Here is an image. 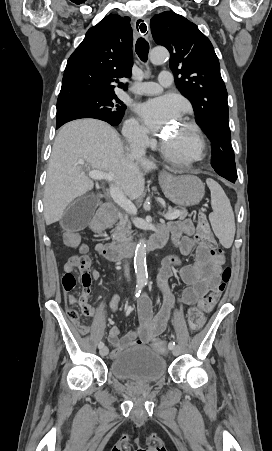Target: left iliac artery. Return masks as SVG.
I'll use <instances>...</instances> for the list:
<instances>
[{"label": "left iliac artery", "instance_id": "obj_1", "mask_svg": "<svg viewBox=\"0 0 272 451\" xmlns=\"http://www.w3.org/2000/svg\"><path fill=\"white\" fill-rule=\"evenodd\" d=\"M146 284H147V282H146ZM174 347H175V342L172 341L168 344L169 349H173Z\"/></svg>", "mask_w": 272, "mask_h": 451}]
</instances>
